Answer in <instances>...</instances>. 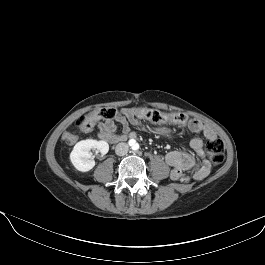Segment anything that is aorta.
Here are the masks:
<instances>
[{"label":"aorta","mask_w":265,"mask_h":265,"mask_svg":"<svg viewBox=\"0 0 265 265\" xmlns=\"http://www.w3.org/2000/svg\"><path fill=\"white\" fill-rule=\"evenodd\" d=\"M129 145L131 146V148L133 150H136L139 147L138 143L134 139H132V140L129 141Z\"/></svg>","instance_id":"aorta-1"}]
</instances>
